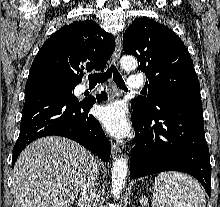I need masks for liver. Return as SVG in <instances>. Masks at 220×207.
<instances>
[{
    "label": "liver",
    "mask_w": 220,
    "mask_h": 207,
    "mask_svg": "<svg viewBox=\"0 0 220 207\" xmlns=\"http://www.w3.org/2000/svg\"><path fill=\"white\" fill-rule=\"evenodd\" d=\"M94 156L78 143L59 136L28 145L13 168L15 207H69Z\"/></svg>",
    "instance_id": "obj_1"
}]
</instances>
